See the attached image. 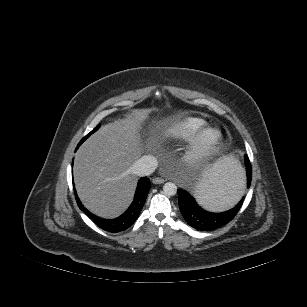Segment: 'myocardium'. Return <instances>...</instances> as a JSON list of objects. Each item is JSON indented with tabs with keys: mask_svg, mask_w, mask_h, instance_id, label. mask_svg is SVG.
<instances>
[{
	"mask_svg": "<svg viewBox=\"0 0 307 307\" xmlns=\"http://www.w3.org/2000/svg\"><path fill=\"white\" fill-rule=\"evenodd\" d=\"M220 132L212 127H207L198 132L185 150L183 161L189 167L198 166L207 160L220 141Z\"/></svg>",
	"mask_w": 307,
	"mask_h": 307,
	"instance_id": "myocardium-1",
	"label": "myocardium"
}]
</instances>
